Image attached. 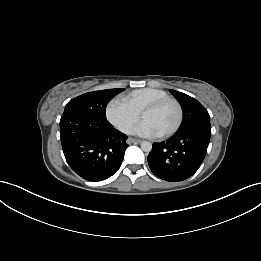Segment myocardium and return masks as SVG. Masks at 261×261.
<instances>
[{
    "label": "myocardium",
    "instance_id": "f54148a6",
    "mask_svg": "<svg viewBox=\"0 0 261 261\" xmlns=\"http://www.w3.org/2000/svg\"><path fill=\"white\" fill-rule=\"evenodd\" d=\"M168 103H172L176 106L177 112H178V118H177L176 123L174 124V126L171 129L160 134V136H162V137H169V136L173 135L175 132H177L178 129L180 128L182 121H183V109H182L180 103L176 99L168 97V98L160 99V100H157V101H154V102L148 104L141 112V117H143V115L145 113L156 110Z\"/></svg>",
    "mask_w": 261,
    "mask_h": 261
}]
</instances>
